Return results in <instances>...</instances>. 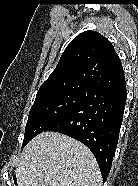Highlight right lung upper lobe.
<instances>
[{
	"mask_svg": "<svg viewBox=\"0 0 138 186\" xmlns=\"http://www.w3.org/2000/svg\"><path fill=\"white\" fill-rule=\"evenodd\" d=\"M123 84V67L111 42L98 32L85 31L69 43L38 92L71 85L97 89Z\"/></svg>",
	"mask_w": 138,
	"mask_h": 186,
	"instance_id": "cb5924a9",
	"label": "right lung upper lobe"
}]
</instances>
